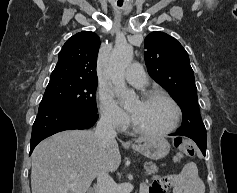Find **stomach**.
Returning a JSON list of instances; mask_svg holds the SVG:
<instances>
[{
	"mask_svg": "<svg viewBox=\"0 0 237 193\" xmlns=\"http://www.w3.org/2000/svg\"><path fill=\"white\" fill-rule=\"evenodd\" d=\"M132 148L147 158L159 160L169 153L170 144L165 138L154 137L143 144L133 145Z\"/></svg>",
	"mask_w": 237,
	"mask_h": 193,
	"instance_id": "1",
	"label": "stomach"
}]
</instances>
